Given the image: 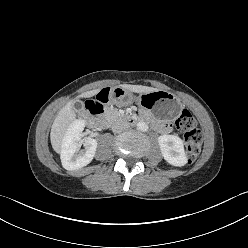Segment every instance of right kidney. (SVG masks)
I'll return each mask as SVG.
<instances>
[{"label": "right kidney", "mask_w": 248, "mask_h": 248, "mask_svg": "<svg viewBox=\"0 0 248 248\" xmlns=\"http://www.w3.org/2000/svg\"><path fill=\"white\" fill-rule=\"evenodd\" d=\"M84 127L85 121L77 119L70 124L65 133L60 155L62 166L66 170H78L88 165L95 156L97 141L89 137L82 139L81 132ZM81 144L85 149L79 151Z\"/></svg>", "instance_id": "right-kidney-1"}]
</instances>
